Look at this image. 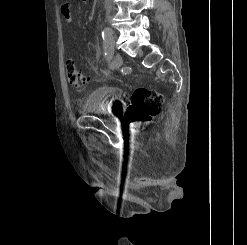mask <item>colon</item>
<instances>
[{
	"label": "colon",
	"mask_w": 247,
	"mask_h": 245,
	"mask_svg": "<svg viewBox=\"0 0 247 245\" xmlns=\"http://www.w3.org/2000/svg\"><path fill=\"white\" fill-rule=\"evenodd\" d=\"M65 65L67 78L71 85L80 87L88 82L87 72L77 69L74 57H67ZM162 100L161 94L154 90L145 87L135 89L131 95V104L126 112L127 119L133 124L149 121L157 115Z\"/></svg>",
	"instance_id": "5ec220e1"
}]
</instances>
